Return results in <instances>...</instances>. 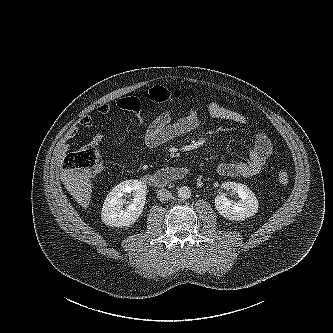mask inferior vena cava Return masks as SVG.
<instances>
[{"label": "inferior vena cava", "mask_w": 333, "mask_h": 333, "mask_svg": "<svg viewBox=\"0 0 333 333\" xmlns=\"http://www.w3.org/2000/svg\"><path fill=\"white\" fill-rule=\"evenodd\" d=\"M157 198L160 201H166L172 198V194L167 189L162 188L157 192Z\"/></svg>", "instance_id": "inferior-vena-cava-1"}]
</instances>
